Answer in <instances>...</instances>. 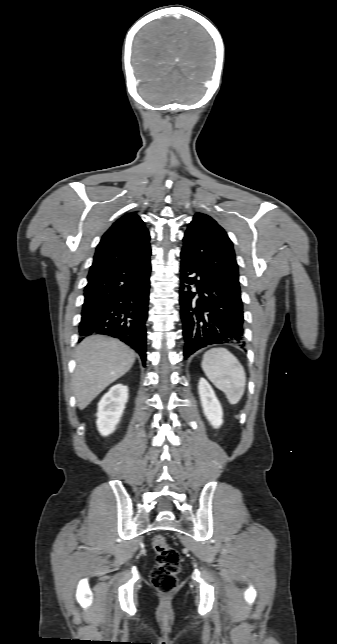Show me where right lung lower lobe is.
Instances as JSON below:
<instances>
[{"label": "right lung lower lobe", "mask_w": 337, "mask_h": 644, "mask_svg": "<svg viewBox=\"0 0 337 644\" xmlns=\"http://www.w3.org/2000/svg\"><path fill=\"white\" fill-rule=\"evenodd\" d=\"M150 271L149 255L88 281L79 340L91 334L110 335L133 348L145 364Z\"/></svg>", "instance_id": "obj_1"}]
</instances>
